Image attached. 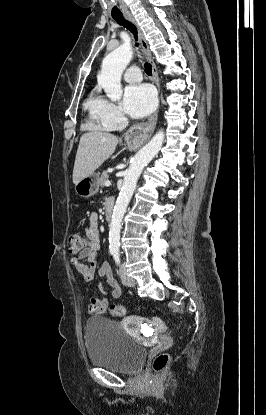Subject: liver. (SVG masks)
<instances>
[{
	"instance_id": "liver-1",
	"label": "liver",
	"mask_w": 266,
	"mask_h": 415,
	"mask_svg": "<svg viewBox=\"0 0 266 415\" xmlns=\"http://www.w3.org/2000/svg\"><path fill=\"white\" fill-rule=\"evenodd\" d=\"M118 138L107 132L92 131L80 138L73 168V183L91 175L115 151Z\"/></svg>"
}]
</instances>
